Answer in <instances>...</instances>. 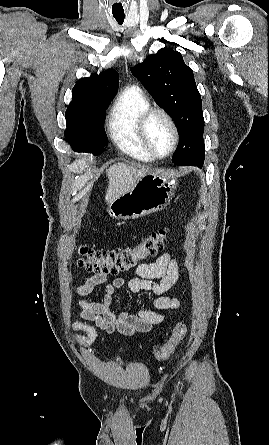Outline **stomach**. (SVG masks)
I'll return each instance as SVG.
<instances>
[{"label":"stomach","mask_w":269,"mask_h":445,"mask_svg":"<svg viewBox=\"0 0 269 445\" xmlns=\"http://www.w3.org/2000/svg\"><path fill=\"white\" fill-rule=\"evenodd\" d=\"M177 179L166 173L149 171L139 178L130 191L108 204L114 219H137L163 210L174 196Z\"/></svg>","instance_id":"obj_1"}]
</instances>
